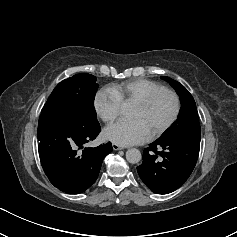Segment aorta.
Returning a JSON list of instances; mask_svg holds the SVG:
<instances>
[{
  "label": "aorta",
  "mask_w": 237,
  "mask_h": 237,
  "mask_svg": "<svg viewBox=\"0 0 237 237\" xmlns=\"http://www.w3.org/2000/svg\"><path fill=\"white\" fill-rule=\"evenodd\" d=\"M142 158L141 152L136 148H130L126 151V160L129 163L136 164Z\"/></svg>",
  "instance_id": "obj_1"
}]
</instances>
